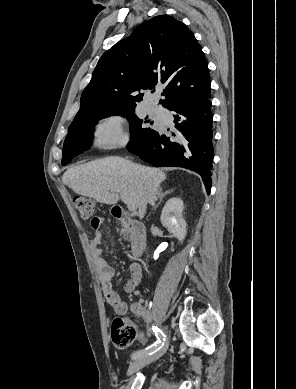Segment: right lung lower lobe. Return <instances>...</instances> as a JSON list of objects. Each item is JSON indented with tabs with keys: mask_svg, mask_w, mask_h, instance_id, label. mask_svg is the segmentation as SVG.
Listing matches in <instances>:
<instances>
[{
	"mask_svg": "<svg viewBox=\"0 0 296 389\" xmlns=\"http://www.w3.org/2000/svg\"><path fill=\"white\" fill-rule=\"evenodd\" d=\"M210 91L171 107L178 133L173 137L155 131L140 150H129L155 167H183L197 172L209 194L212 183L213 115Z\"/></svg>",
	"mask_w": 296,
	"mask_h": 389,
	"instance_id": "98d812e1",
	"label": "right lung lower lobe"
}]
</instances>
